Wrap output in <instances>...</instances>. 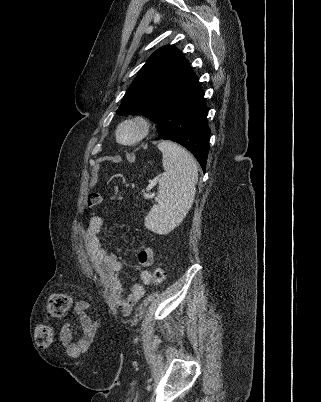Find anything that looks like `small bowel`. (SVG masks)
Returning a JSON list of instances; mask_svg holds the SVG:
<instances>
[{"instance_id":"small-bowel-1","label":"small bowel","mask_w":321,"mask_h":402,"mask_svg":"<svg viewBox=\"0 0 321 402\" xmlns=\"http://www.w3.org/2000/svg\"><path fill=\"white\" fill-rule=\"evenodd\" d=\"M102 226L103 218L101 216L94 215L90 218L87 229L90 255L97 273L106 280L116 306L123 315H129L133 307L144 296L146 286L152 281L151 274L147 268L153 263L154 251L152 248L147 247L138 253L136 262L142 268L139 274L140 281L132 286L130 294L126 297L122 281L119 277L122 261L117 253L108 252L104 247L100 239ZM88 308H91V305H88L86 302H77L75 305L74 313L80 317L83 327L80 344H75L72 341L70 331L68 330L72 326L71 321H64V328L58 332L62 344L73 358H84L87 347H92L93 345L90 335L96 334V321L90 320V314L86 311Z\"/></svg>"}]
</instances>
